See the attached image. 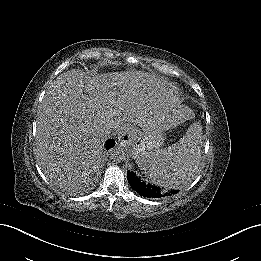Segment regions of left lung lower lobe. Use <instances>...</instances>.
Segmentation results:
<instances>
[{
    "label": "left lung lower lobe",
    "instance_id": "1",
    "mask_svg": "<svg viewBox=\"0 0 261 261\" xmlns=\"http://www.w3.org/2000/svg\"><path fill=\"white\" fill-rule=\"evenodd\" d=\"M180 166L181 165H179V167L177 166V172H182V171L185 172V170L187 172V169L185 167H180ZM175 171H176V168H175ZM127 178H128L130 186L143 197L157 199V198H163L166 196H170V195L176 193V191L167 192V190H162L159 187H155L144 181H141L135 176L134 173H131L130 171L127 172Z\"/></svg>",
    "mask_w": 261,
    "mask_h": 261
}]
</instances>
